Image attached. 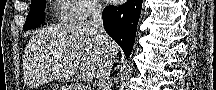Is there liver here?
I'll return each mask as SVG.
<instances>
[{
	"mask_svg": "<svg viewBox=\"0 0 216 90\" xmlns=\"http://www.w3.org/2000/svg\"><path fill=\"white\" fill-rule=\"evenodd\" d=\"M109 46L114 58L118 46L113 40ZM99 56L98 38L90 32L87 22L68 20L60 26L35 32L26 48L24 62H43L45 76L70 80L77 70L92 78Z\"/></svg>",
	"mask_w": 216,
	"mask_h": 90,
	"instance_id": "obj_1",
	"label": "liver"
}]
</instances>
